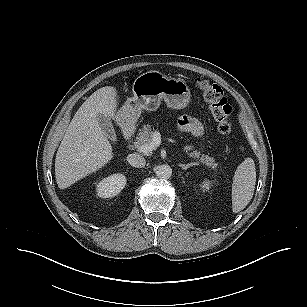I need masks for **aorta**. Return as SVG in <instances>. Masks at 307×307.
I'll return each mask as SVG.
<instances>
[{"label": "aorta", "instance_id": "762f6f07", "mask_svg": "<svg viewBox=\"0 0 307 307\" xmlns=\"http://www.w3.org/2000/svg\"><path fill=\"white\" fill-rule=\"evenodd\" d=\"M156 175L159 179H169L172 175V169L167 164H162L156 167Z\"/></svg>", "mask_w": 307, "mask_h": 307}]
</instances>
